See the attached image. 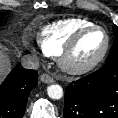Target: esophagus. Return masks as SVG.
Instances as JSON below:
<instances>
[{"mask_svg": "<svg viewBox=\"0 0 118 118\" xmlns=\"http://www.w3.org/2000/svg\"><path fill=\"white\" fill-rule=\"evenodd\" d=\"M40 80L43 82V83H47V84H50V83H53L54 82V79L47 73H44L40 76Z\"/></svg>", "mask_w": 118, "mask_h": 118, "instance_id": "esophagus-1", "label": "esophagus"}]
</instances>
